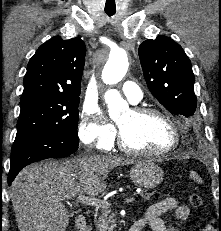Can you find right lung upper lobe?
<instances>
[{"mask_svg": "<svg viewBox=\"0 0 221 231\" xmlns=\"http://www.w3.org/2000/svg\"><path fill=\"white\" fill-rule=\"evenodd\" d=\"M86 46L76 37L54 36L30 59L20 99L35 96L79 97Z\"/></svg>", "mask_w": 221, "mask_h": 231, "instance_id": "cb5924a9", "label": "right lung upper lobe"}]
</instances>
